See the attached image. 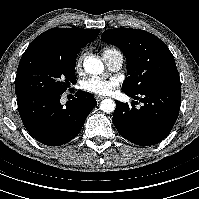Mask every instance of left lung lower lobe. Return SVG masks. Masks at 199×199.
Instances as JSON below:
<instances>
[{
  "label": "left lung lower lobe",
  "instance_id": "0a47b994",
  "mask_svg": "<svg viewBox=\"0 0 199 199\" xmlns=\"http://www.w3.org/2000/svg\"><path fill=\"white\" fill-rule=\"evenodd\" d=\"M143 103L140 109L116 101L113 123L122 137L139 146L161 142L171 132L181 105V87H157L131 94Z\"/></svg>",
  "mask_w": 199,
  "mask_h": 199
}]
</instances>
